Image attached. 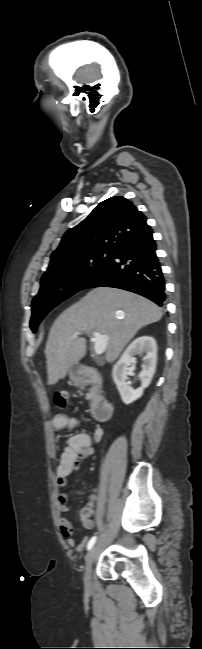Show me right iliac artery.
Wrapping results in <instances>:
<instances>
[{"mask_svg": "<svg viewBox=\"0 0 202 649\" xmlns=\"http://www.w3.org/2000/svg\"><path fill=\"white\" fill-rule=\"evenodd\" d=\"M96 539H97V537H96V536H93V537L89 540V542H88V544H87V549H88V550H90V549L93 547V545H94L95 542H96Z\"/></svg>", "mask_w": 202, "mask_h": 649, "instance_id": "1", "label": "right iliac artery"}]
</instances>
